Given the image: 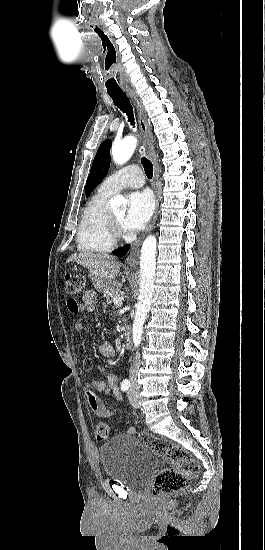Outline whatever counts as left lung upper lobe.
<instances>
[{
    "label": "left lung upper lobe",
    "mask_w": 265,
    "mask_h": 550,
    "mask_svg": "<svg viewBox=\"0 0 265 550\" xmlns=\"http://www.w3.org/2000/svg\"><path fill=\"white\" fill-rule=\"evenodd\" d=\"M110 146V140H105L97 150L86 183V196L101 182L109 170Z\"/></svg>",
    "instance_id": "obj_1"
}]
</instances>
